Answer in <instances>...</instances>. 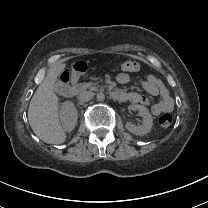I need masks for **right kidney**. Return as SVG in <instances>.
Returning <instances> with one entry per match:
<instances>
[{"mask_svg":"<svg viewBox=\"0 0 208 208\" xmlns=\"http://www.w3.org/2000/svg\"><path fill=\"white\" fill-rule=\"evenodd\" d=\"M59 117L62 122L63 130L66 132L72 131L78 119V112L71 101H65L60 106Z\"/></svg>","mask_w":208,"mask_h":208,"instance_id":"obj_1","label":"right kidney"}]
</instances>
